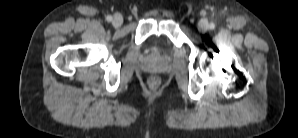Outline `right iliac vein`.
Here are the masks:
<instances>
[{
    "instance_id": "63e3f726",
    "label": "right iliac vein",
    "mask_w": 298,
    "mask_h": 138,
    "mask_svg": "<svg viewBox=\"0 0 298 138\" xmlns=\"http://www.w3.org/2000/svg\"><path fill=\"white\" fill-rule=\"evenodd\" d=\"M123 23V18L120 14H116L112 20V24L114 27H119Z\"/></svg>"
}]
</instances>
